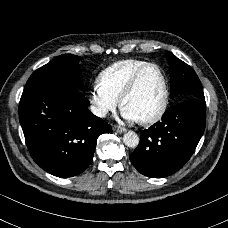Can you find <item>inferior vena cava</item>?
I'll use <instances>...</instances> for the list:
<instances>
[{
    "label": "inferior vena cava",
    "instance_id": "602c4592",
    "mask_svg": "<svg viewBox=\"0 0 228 228\" xmlns=\"http://www.w3.org/2000/svg\"><path fill=\"white\" fill-rule=\"evenodd\" d=\"M91 111L94 115H96L98 117H105L107 114V111L97 108L95 106H91Z\"/></svg>",
    "mask_w": 228,
    "mask_h": 228
}]
</instances>
